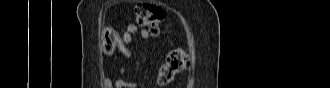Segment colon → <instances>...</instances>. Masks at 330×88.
<instances>
[{"instance_id":"obj_1","label":"colon","mask_w":330,"mask_h":88,"mask_svg":"<svg viewBox=\"0 0 330 88\" xmlns=\"http://www.w3.org/2000/svg\"><path fill=\"white\" fill-rule=\"evenodd\" d=\"M136 23L147 28L152 35H157L162 29L165 17L164 11L152 4L139 3L135 6ZM120 39L119 33L110 25H105L101 31V45L106 53L114 50ZM190 67V59L182 48H174L167 54L164 62L155 73V80L160 86H168L173 83L176 76L187 71Z\"/></svg>"}]
</instances>
